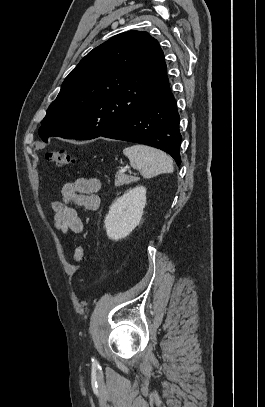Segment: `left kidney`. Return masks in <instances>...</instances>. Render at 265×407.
<instances>
[{"instance_id":"1","label":"left kidney","mask_w":265,"mask_h":407,"mask_svg":"<svg viewBox=\"0 0 265 407\" xmlns=\"http://www.w3.org/2000/svg\"><path fill=\"white\" fill-rule=\"evenodd\" d=\"M146 205V188L128 190L111 205L105 217L107 236L112 240L127 237L140 223Z\"/></svg>"}]
</instances>
